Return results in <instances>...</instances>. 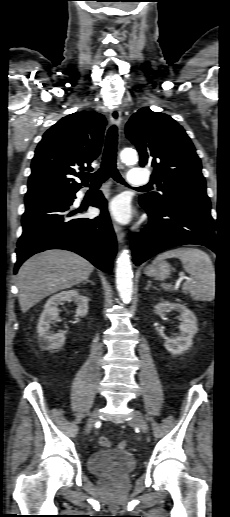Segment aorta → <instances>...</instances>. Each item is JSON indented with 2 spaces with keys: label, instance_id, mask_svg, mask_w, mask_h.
I'll list each match as a JSON object with an SVG mask.
<instances>
[{
  "label": "aorta",
  "instance_id": "aorta-1",
  "mask_svg": "<svg viewBox=\"0 0 230 517\" xmlns=\"http://www.w3.org/2000/svg\"><path fill=\"white\" fill-rule=\"evenodd\" d=\"M122 162L132 165L138 161L135 150L123 149L120 153ZM133 273L128 250L124 249L119 254L116 262V286L121 300L129 303L133 293Z\"/></svg>",
  "mask_w": 230,
  "mask_h": 517
}]
</instances>
